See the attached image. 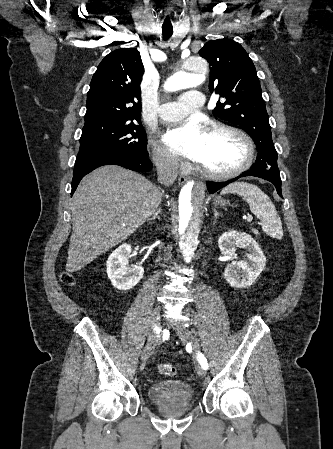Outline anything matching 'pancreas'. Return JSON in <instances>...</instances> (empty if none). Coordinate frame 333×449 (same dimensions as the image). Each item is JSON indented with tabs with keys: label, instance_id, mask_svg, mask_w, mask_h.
I'll list each match as a JSON object with an SVG mask.
<instances>
[{
	"label": "pancreas",
	"instance_id": "obj_1",
	"mask_svg": "<svg viewBox=\"0 0 333 449\" xmlns=\"http://www.w3.org/2000/svg\"><path fill=\"white\" fill-rule=\"evenodd\" d=\"M252 232L255 233L256 235H258V232H257L256 229L253 228V229H252Z\"/></svg>",
	"mask_w": 333,
	"mask_h": 449
}]
</instances>
